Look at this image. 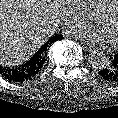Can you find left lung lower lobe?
I'll return each instance as SVG.
<instances>
[{
	"label": "left lung lower lobe",
	"mask_w": 118,
	"mask_h": 118,
	"mask_svg": "<svg viewBox=\"0 0 118 118\" xmlns=\"http://www.w3.org/2000/svg\"><path fill=\"white\" fill-rule=\"evenodd\" d=\"M98 73L105 81L118 84V53L110 56L107 65Z\"/></svg>",
	"instance_id": "1"
}]
</instances>
